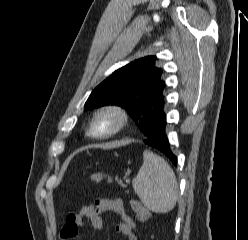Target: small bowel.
Masks as SVG:
<instances>
[{
	"instance_id": "c3829d8e",
	"label": "small bowel",
	"mask_w": 248,
	"mask_h": 240,
	"mask_svg": "<svg viewBox=\"0 0 248 240\" xmlns=\"http://www.w3.org/2000/svg\"><path fill=\"white\" fill-rule=\"evenodd\" d=\"M105 212H112L118 216L120 222L116 226V231L124 235L128 240H137L133 229L135 224L125 210L120 199H97L93 205H84L77 212L66 217L65 223L60 231L61 240L75 239L86 222L95 230L103 229L101 215Z\"/></svg>"
}]
</instances>
